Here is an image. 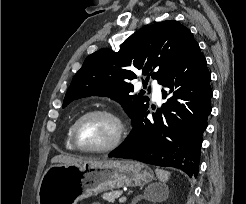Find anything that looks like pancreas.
<instances>
[{
	"instance_id": "pancreas-1",
	"label": "pancreas",
	"mask_w": 246,
	"mask_h": 204,
	"mask_svg": "<svg viewBox=\"0 0 246 204\" xmlns=\"http://www.w3.org/2000/svg\"><path fill=\"white\" fill-rule=\"evenodd\" d=\"M122 195V191L118 190V191H111L108 193H104L102 195V198L106 201L109 202H114L115 199H118L120 196Z\"/></svg>"
}]
</instances>
